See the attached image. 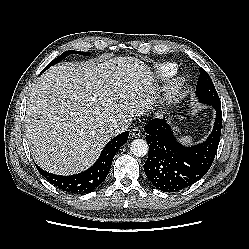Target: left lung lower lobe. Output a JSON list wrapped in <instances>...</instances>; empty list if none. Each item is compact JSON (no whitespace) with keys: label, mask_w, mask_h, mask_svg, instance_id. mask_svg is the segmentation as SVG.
<instances>
[{"label":"left lung lower lobe","mask_w":249,"mask_h":249,"mask_svg":"<svg viewBox=\"0 0 249 249\" xmlns=\"http://www.w3.org/2000/svg\"><path fill=\"white\" fill-rule=\"evenodd\" d=\"M216 120L205 142L185 147L175 138L163 119L151 120L145 127L149 153L144 171L150 182L164 192L189 187L202 178L212 165L220 142L221 104L213 106Z\"/></svg>","instance_id":"0a47b994"}]
</instances>
